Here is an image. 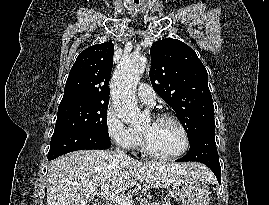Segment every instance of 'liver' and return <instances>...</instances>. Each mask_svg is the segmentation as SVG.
Segmentation results:
<instances>
[{
  "label": "liver",
  "mask_w": 269,
  "mask_h": 205,
  "mask_svg": "<svg viewBox=\"0 0 269 205\" xmlns=\"http://www.w3.org/2000/svg\"><path fill=\"white\" fill-rule=\"evenodd\" d=\"M188 174L204 182L213 180L211 172L199 163H143L112 151H75L50 163L47 205H87L103 184L118 194L137 181L165 188Z\"/></svg>",
  "instance_id": "1"
}]
</instances>
